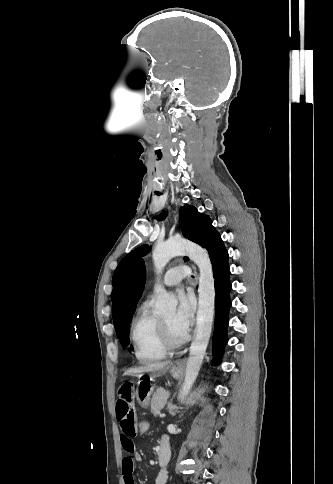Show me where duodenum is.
I'll list each match as a JSON object with an SVG mask.
<instances>
[{"instance_id": "duodenum-1", "label": "duodenum", "mask_w": 333, "mask_h": 484, "mask_svg": "<svg viewBox=\"0 0 333 484\" xmlns=\"http://www.w3.org/2000/svg\"><path fill=\"white\" fill-rule=\"evenodd\" d=\"M170 454L171 451L168 441L162 440L156 451L159 466L165 467L167 465Z\"/></svg>"}]
</instances>
